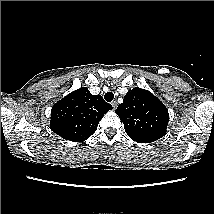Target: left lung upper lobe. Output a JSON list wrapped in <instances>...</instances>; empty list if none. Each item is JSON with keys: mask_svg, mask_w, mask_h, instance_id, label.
Listing matches in <instances>:
<instances>
[{"mask_svg": "<svg viewBox=\"0 0 214 214\" xmlns=\"http://www.w3.org/2000/svg\"><path fill=\"white\" fill-rule=\"evenodd\" d=\"M115 113L125 132L138 143H151L166 134L169 113L151 92L138 87L129 90Z\"/></svg>", "mask_w": 214, "mask_h": 214, "instance_id": "left-lung-upper-lobe-1", "label": "left lung upper lobe"}]
</instances>
